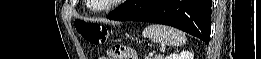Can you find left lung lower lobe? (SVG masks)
Masks as SVG:
<instances>
[{
	"label": "left lung lower lobe",
	"instance_id": "0a47b994",
	"mask_svg": "<svg viewBox=\"0 0 261 59\" xmlns=\"http://www.w3.org/2000/svg\"><path fill=\"white\" fill-rule=\"evenodd\" d=\"M212 0H127L107 18L173 26L206 44L210 40Z\"/></svg>",
	"mask_w": 261,
	"mask_h": 59
}]
</instances>
